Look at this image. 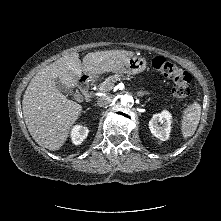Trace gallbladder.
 <instances>
[{"mask_svg":"<svg viewBox=\"0 0 221 221\" xmlns=\"http://www.w3.org/2000/svg\"><path fill=\"white\" fill-rule=\"evenodd\" d=\"M56 87L60 92L67 93L66 87L60 82L59 79L56 80Z\"/></svg>","mask_w":221,"mask_h":221,"instance_id":"obj_1","label":"gallbladder"}]
</instances>
